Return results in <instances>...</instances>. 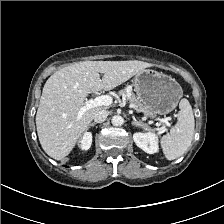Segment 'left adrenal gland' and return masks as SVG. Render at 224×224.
<instances>
[{
    "instance_id": "a2214340",
    "label": "left adrenal gland",
    "mask_w": 224,
    "mask_h": 224,
    "mask_svg": "<svg viewBox=\"0 0 224 224\" xmlns=\"http://www.w3.org/2000/svg\"><path fill=\"white\" fill-rule=\"evenodd\" d=\"M132 125L136 127H142L145 130H150V127L146 123L138 121L135 118H133Z\"/></svg>"
}]
</instances>
